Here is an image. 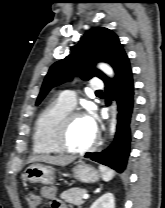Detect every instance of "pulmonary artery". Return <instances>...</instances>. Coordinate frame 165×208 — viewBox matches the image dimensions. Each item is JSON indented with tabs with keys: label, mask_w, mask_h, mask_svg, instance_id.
Returning a JSON list of instances; mask_svg holds the SVG:
<instances>
[{
	"label": "pulmonary artery",
	"mask_w": 165,
	"mask_h": 208,
	"mask_svg": "<svg viewBox=\"0 0 165 208\" xmlns=\"http://www.w3.org/2000/svg\"><path fill=\"white\" fill-rule=\"evenodd\" d=\"M90 88L95 92L101 91L103 89V83L100 79H95L92 81ZM59 101L67 107L73 108L77 101L76 93L73 91H64L60 95Z\"/></svg>",
	"instance_id": "e3ab8cb5"
}]
</instances>
